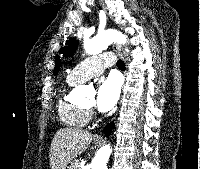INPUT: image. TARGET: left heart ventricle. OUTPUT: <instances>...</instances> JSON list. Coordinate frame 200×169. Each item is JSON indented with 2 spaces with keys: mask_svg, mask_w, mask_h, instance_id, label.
I'll use <instances>...</instances> for the list:
<instances>
[{
  "mask_svg": "<svg viewBox=\"0 0 200 169\" xmlns=\"http://www.w3.org/2000/svg\"><path fill=\"white\" fill-rule=\"evenodd\" d=\"M93 103H94V100L92 99L91 102H90V105H92Z\"/></svg>",
  "mask_w": 200,
  "mask_h": 169,
  "instance_id": "obj_1",
  "label": "left heart ventricle"
}]
</instances>
